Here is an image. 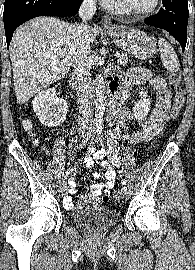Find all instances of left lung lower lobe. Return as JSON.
Segmentation results:
<instances>
[{
  "instance_id": "obj_1",
  "label": "left lung lower lobe",
  "mask_w": 195,
  "mask_h": 270,
  "mask_svg": "<svg viewBox=\"0 0 195 270\" xmlns=\"http://www.w3.org/2000/svg\"><path fill=\"white\" fill-rule=\"evenodd\" d=\"M163 8L145 19L150 26L168 31L181 44L184 52L187 42L188 2L187 0H163Z\"/></svg>"
}]
</instances>
